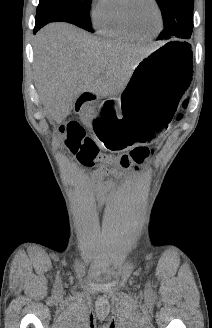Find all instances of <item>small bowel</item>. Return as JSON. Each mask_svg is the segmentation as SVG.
I'll return each instance as SVG.
<instances>
[{"label": "small bowel", "instance_id": "c3829d8e", "mask_svg": "<svg viewBox=\"0 0 212 328\" xmlns=\"http://www.w3.org/2000/svg\"><path fill=\"white\" fill-rule=\"evenodd\" d=\"M109 174L121 177L122 170H111L110 173H98V170H96L91 175L89 181H87L88 186L97 196L99 208L102 207L107 197L113 198L115 194V187L113 182L103 180V177Z\"/></svg>", "mask_w": 212, "mask_h": 328}]
</instances>
